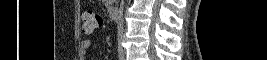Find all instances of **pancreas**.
I'll use <instances>...</instances> for the list:
<instances>
[{
    "mask_svg": "<svg viewBox=\"0 0 267 60\" xmlns=\"http://www.w3.org/2000/svg\"><path fill=\"white\" fill-rule=\"evenodd\" d=\"M105 2L108 4L110 1L109 0H105Z\"/></svg>",
    "mask_w": 267,
    "mask_h": 60,
    "instance_id": "obj_1",
    "label": "pancreas"
}]
</instances>
